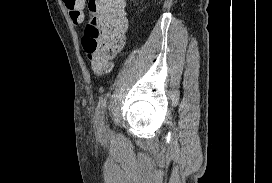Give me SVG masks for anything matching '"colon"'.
<instances>
[{"mask_svg":"<svg viewBox=\"0 0 272 183\" xmlns=\"http://www.w3.org/2000/svg\"><path fill=\"white\" fill-rule=\"evenodd\" d=\"M74 23L86 21L82 47L97 73L105 72L124 45L125 0H63Z\"/></svg>","mask_w":272,"mask_h":183,"instance_id":"1","label":"colon"}]
</instances>
